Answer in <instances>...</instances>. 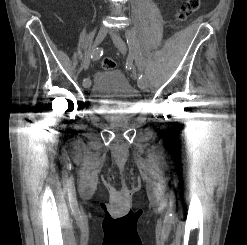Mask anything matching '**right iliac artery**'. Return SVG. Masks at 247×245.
I'll return each instance as SVG.
<instances>
[{
  "label": "right iliac artery",
  "instance_id": "obj_1",
  "mask_svg": "<svg viewBox=\"0 0 247 245\" xmlns=\"http://www.w3.org/2000/svg\"><path fill=\"white\" fill-rule=\"evenodd\" d=\"M103 51L100 48H95L92 50V52L90 53L89 57L87 59L83 60V66L86 69L89 66L90 63V59L92 57H97L98 59L102 56Z\"/></svg>",
  "mask_w": 247,
  "mask_h": 245
}]
</instances>
